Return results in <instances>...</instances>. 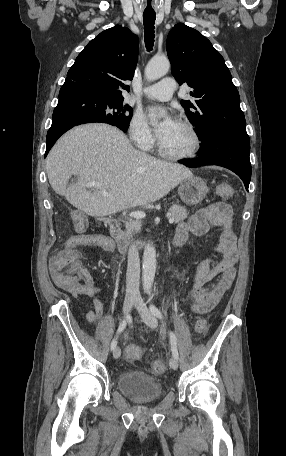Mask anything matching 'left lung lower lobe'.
Returning <instances> with one entry per match:
<instances>
[{
    "label": "left lung lower lobe",
    "instance_id": "obj_1",
    "mask_svg": "<svg viewBox=\"0 0 286 456\" xmlns=\"http://www.w3.org/2000/svg\"><path fill=\"white\" fill-rule=\"evenodd\" d=\"M249 153L250 139L246 132L220 130L213 132L202 141L198 158L182 163L191 168L202 165L228 168L243 180L248 191L251 179Z\"/></svg>",
    "mask_w": 286,
    "mask_h": 456
}]
</instances>
